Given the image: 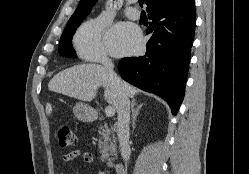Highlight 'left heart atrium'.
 Returning <instances> with one entry per match:
<instances>
[{
    "mask_svg": "<svg viewBox=\"0 0 249 174\" xmlns=\"http://www.w3.org/2000/svg\"><path fill=\"white\" fill-rule=\"evenodd\" d=\"M106 43L113 55L131 54L139 50L141 36L132 26L118 24L109 30Z\"/></svg>",
    "mask_w": 249,
    "mask_h": 174,
    "instance_id": "obj_1",
    "label": "left heart atrium"
}]
</instances>
